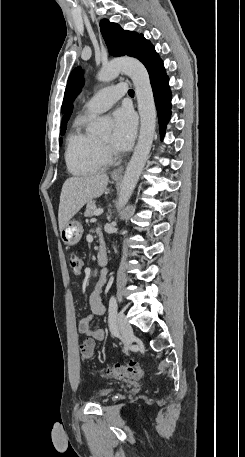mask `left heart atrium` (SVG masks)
I'll return each mask as SVG.
<instances>
[{
  "label": "left heart atrium",
  "instance_id": "left-heart-atrium-1",
  "mask_svg": "<svg viewBox=\"0 0 245 457\" xmlns=\"http://www.w3.org/2000/svg\"><path fill=\"white\" fill-rule=\"evenodd\" d=\"M114 131L112 136V146L119 151H126L130 148L135 131L136 116L127 107H121L113 113Z\"/></svg>",
  "mask_w": 245,
  "mask_h": 457
}]
</instances>
